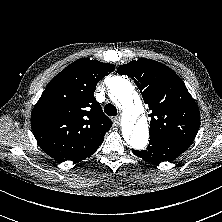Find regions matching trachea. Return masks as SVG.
<instances>
[{"instance_id": "trachea-1", "label": "trachea", "mask_w": 222, "mask_h": 222, "mask_svg": "<svg viewBox=\"0 0 222 222\" xmlns=\"http://www.w3.org/2000/svg\"><path fill=\"white\" fill-rule=\"evenodd\" d=\"M104 111L107 115L109 116H116L117 115V109L114 105L112 104H107L105 107H104Z\"/></svg>"}]
</instances>
